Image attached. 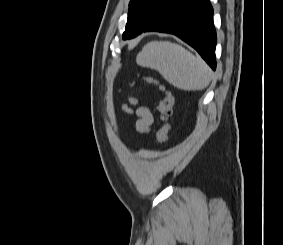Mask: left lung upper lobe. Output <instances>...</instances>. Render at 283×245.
Segmentation results:
<instances>
[{
    "instance_id": "5c2ea615",
    "label": "left lung upper lobe",
    "mask_w": 283,
    "mask_h": 245,
    "mask_svg": "<svg viewBox=\"0 0 283 245\" xmlns=\"http://www.w3.org/2000/svg\"><path fill=\"white\" fill-rule=\"evenodd\" d=\"M173 0H131L123 39H130L153 23Z\"/></svg>"
}]
</instances>
